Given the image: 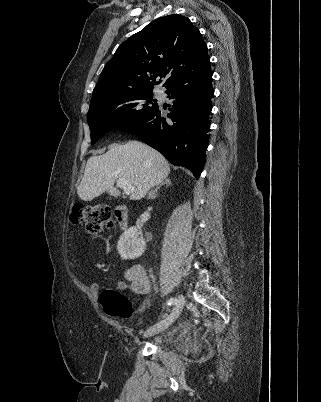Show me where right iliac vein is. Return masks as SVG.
<instances>
[{"instance_id":"obj_1","label":"right iliac vein","mask_w":321,"mask_h":402,"mask_svg":"<svg viewBox=\"0 0 321 402\" xmlns=\"http://www.w3.org/2000/svg\"><path fill=\"white\" fill-rule=\"evenodd\" d=\"M183 305H184V298L181 297L180 300L175 304L171 314L167 318L161 320L154 326L147 329L144 332L143 337L148 338V337L154 336V335L162 332L163 330L167 329L179 316V314L182 311Z\"/></svg>"}]
</instances>
